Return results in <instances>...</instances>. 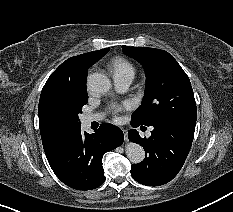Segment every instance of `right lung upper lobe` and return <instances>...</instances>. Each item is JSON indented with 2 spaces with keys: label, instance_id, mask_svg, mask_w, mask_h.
I'll return each mask as SVG.
<instances>
[{
  "label": "right lung upper lobe",
  "instance_id": "1",
  "mask_svg": "<svg viewBox=\"0 0 233 212\" xmlns=\"http://www.w3.org/2000/svg\"><path fill=\"white\" fill-rule=\"evenodd\" d=\"M109 50V48H106L71 57L64 61L48 78L42 89L38 107L39 127L45 154L57 148L68 135V133L57 130L49 123L45 114L47 98L57 92L86 88L89 67L101 59Z\"/></svg>",
  "mask_w": 233,
  "mask_h": 212
}]
</instances>
